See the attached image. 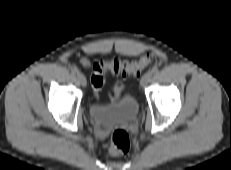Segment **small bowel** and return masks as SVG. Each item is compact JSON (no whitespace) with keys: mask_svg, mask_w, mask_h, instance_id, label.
<instances>
[{"mask_svg":"<svg viewBox=\"0 0 231 170\" xmlns=\"http://www.w3.org/2000/svg\"><path fill=\"white\" fill-rule=\"evenodd\" d=\"M80 63H81V65H83L84 67H87V66L89 65V61H88V59H86V58H82V59L80 60Z\"/></svg>","mask_w":231,"mask_h":170,"instance_id":"small-bowel-1","label":"small bowel"}]
</instances>
